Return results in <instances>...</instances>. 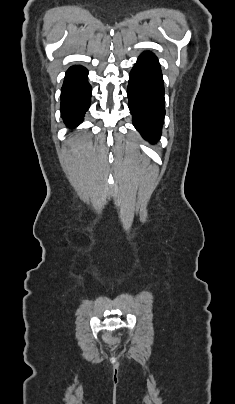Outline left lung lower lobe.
Instances as JSON below:
<instances>
[{
    "mask_svg": "<svg viewBox=\"0 0 235 404\" xmlns=\"http://www.w3.org/2000/svg\"><path fill=\"white\" fill-rule=\"evenodd\" d=\"M133 124L147 141L161 135L165 115L164 84L159 62L151 52H144L130 72L127 88Z\"/></svg>",
    "mask_w": 235,
    "mask_h": 404,
    "instance_id": "left-lung-lower-lobe-1",
    "label": "left lung lower lobe"
}]
</instances>
